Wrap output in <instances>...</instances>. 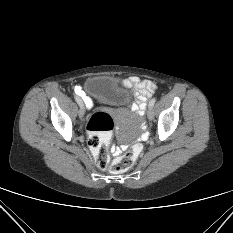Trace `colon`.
Returning <instances> with one entry per match:
<instances>
[{"mask_svg":"<svg viewBox=\"0 0 233 233\" xmlns=\"http://www.w3.org/2000/svg\"><path fill=\"white\" fill-rule=\"evenodd\" d=\"M113 128L114 121L110 114L104 111L94 113L87 124L88 145L99 168L108 169L112 173H122L135 163L142 152V145L134 144L124 155L110 161L108 143Z\"/></svg>","mask_w":233,"mask_h":233,"instance_id":"1","label":"colon"}]
</instances>
